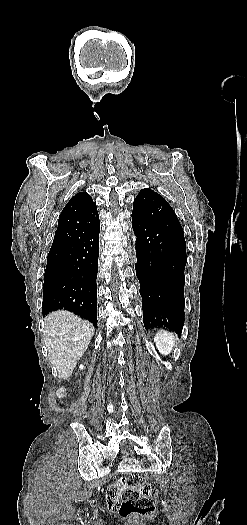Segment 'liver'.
<instances>
[{"label": "liver", "instance_id": "liver-1", "mask_svg": "<svg viewBox=\"0 0 247 525\" xmlns=\"http://www.w3.org/2000/svg\"><path fill=\"white\" fill-rule=\"evenodd\" d=\"M44 323L43 341L52 365V375L67 381L83 357L95 327L70 311H54L45 317Z\"/></svg>", "mask_w": 247, "mask_h": 525}]
</instances>
